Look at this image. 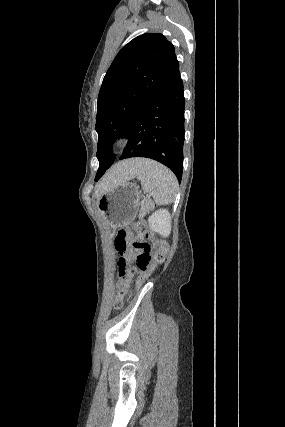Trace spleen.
<instances>
[{"instance_id":"spleen-1","label":"spleen","mask_w":285,"mask_h":427,"mask_svg":"<svg viewBox=\"0 0 285 427\" xmlns=\"http://www.w3.org/2000/svg\"><path fill=\"white\" fill-rule=\"evenodd\" d=\"M135 177L141 182L142 189L153 195L157 205L170 204L175 199L178 181L162 164L145 159Z\"/></svg>"}]
</instances>
